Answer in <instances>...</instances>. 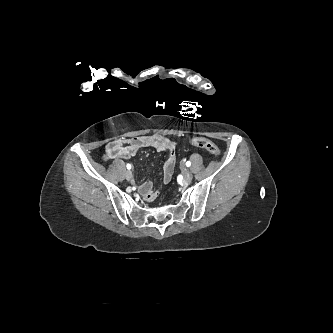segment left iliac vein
Returning a JSON list of instances; mask_svg holds the SVG:
<instances>
[{"mask_svg": "<svg viewBox=\"0 0 333 333\" xmlns=\"http://www.w3.org/2000/svg\"><path fill=\"white\" fill-rule=\"evenodd\" d=\"M183 175H184V180H183L184 184H189L192 181L193 176L186 167L183 168Z\"/></svg>", "mask_w": 333, "mask_h": 333, "instance_id": "left-iliac-vein-1", "label": "left iliac vein"}]
</instances>
